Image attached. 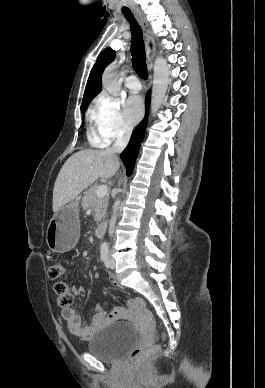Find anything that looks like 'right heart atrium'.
Wrapping results in <instances>:
<instances>
[{
  "mask_svg": "<svg viewBox=\"0 0 265 388\" xmlns=\"http://www.w3.org/2000/svg\"><path fill=\"white\" fill-rule=\"evenodd\" d=\"M91 115L105 141L125 137L131 132L132 127L125 120L120 103L107 94H102L95 100Z\"/></svg>",
  "mask_w": 265,
  "mask_h": 388,
  "instance_id": "obj_1",
  "label": "right heart atrium"
}]
</instances>
